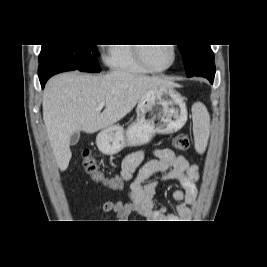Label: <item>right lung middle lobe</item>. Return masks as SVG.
<instances>
[{
  "instance_id": "dd1d6c3e",
  "label": "right lung middle lobe",
  "mask_w": 267,
  "mask_h": 267,
  "mask_svg": "<svg viewBox=\"0 0 267 267\" xmlns=\"http://www.w3.org/2000/svg\"><path fill=\"white\" fill-rule=\"evenodd\" d=\"M55 60L84 72H100L96 45H42L39 62Z\"/></svg>"
}]
</instances>
